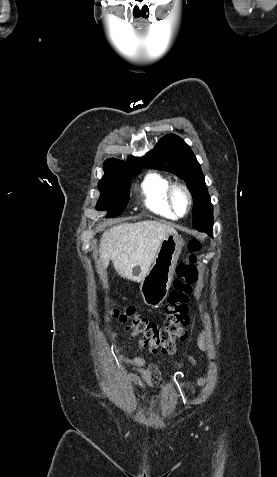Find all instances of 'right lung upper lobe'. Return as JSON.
Masks as SVG:
<instances>
[{
	"instance_id": "right-lung-upper-lobe-1",
	"label": "right lung upper lobe",
	"mask_w": 277,
	"mask_h": 477,
	"mask_svg": "<svg viewBox=\"0 0 277 477\" xmlns=\"http://www.w3.org/2000/svg\"><path fill=\"white\" fill-rule=\"evenodd\" d=\"M143 160L134 156H129L127 162L115 158L107 159L104 163V170H133L142 169Z\"/></svg>"
}]
</instances>
